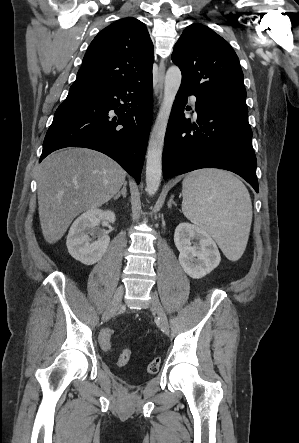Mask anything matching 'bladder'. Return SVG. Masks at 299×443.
Instances as JSON below:
<instances>
[{"instance_id":"1","label":"bladder","mask_w":299,"mask_h":443,"mask_svg":"<svg viewBox=\"0 0 299 443\" xmlns=\"http://www.w3.org/2000/svg\"><path fill=\"white\" fill-rule=\"evenodd\" d=\"M125 376H127L128 378H135L136 374L132 371H126Z\"/></svg>"}]
</instances>
